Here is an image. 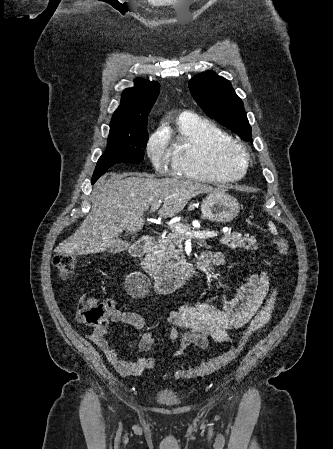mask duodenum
I'll return each instance as SVG.
<instances>
[{"instance_id":"1","label":"duodenum","mask_w":333,"mask_h":449,"mask_svg":"<svg viewBox=\"0 0 333 449\" xmlns=\"http://www.w3.org/2000/svg\"><path fill=\"white\" fill-rule=\"evenodd\" d=\"M155 246L156 239L146 236L132 245L130 253L140 260L141 267L151 278L155 291L159 293L166 294L175 291L211 262L210 253H203L194 263H188L174 271L162 273L150 257Z\"/></svg>"}]
</instances>
